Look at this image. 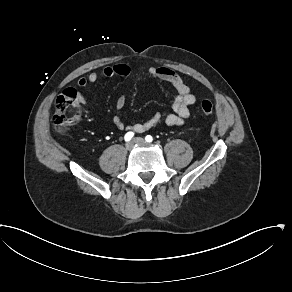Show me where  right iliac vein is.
<instances>
[{
    "label": "right iliac vein",
    "instance_id": "right-iliac-vein-1",
    "mask_svg": "<svg viewBox=\"0 0 292 292\" xmlns=\"http://www.w3.org/2000/svg\"><path fill=\"white\" fill-rule=\"evenodd\" d=\"M134 146H135V141H134V140H133V141H130V142H128V143H126V145H125V147H126V149H127L128 151L133 150Z\"/></svg>",
    "mask_w": 292,
    "mask_h": 292
}]
</instances>
